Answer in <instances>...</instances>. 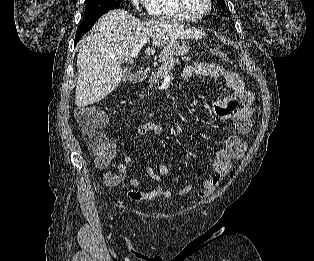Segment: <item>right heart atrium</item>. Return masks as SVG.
<instances>
[{
  "label": "right heart atrium",
  "instance_id": "d8ad5b80",
  "mask_svg": "<svg viewBox=\"0 0 314 261\" xmlns=\"http://www.w3.org/2000/svg\"><path fill=\"white\" fill-rule=\"evenodd\" d=\"M135 9L140 10L145 8L148 0H130Z\"/></svg>",
  "mask_w": 314,
  "mask_h": 261
}]
</instances>
